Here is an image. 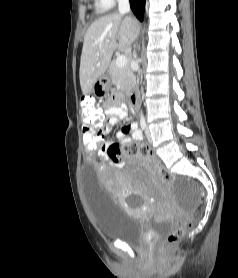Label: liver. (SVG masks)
I'll return each instance as SVG.
<instances>
[{
	"label": "liver",
	"mask_w": 238,
	"mask_h": 278,
	"mask_svg": "<svg viewBox=\"0 0 238 278\" xmlns=\"http://www.w3.org/2000/svg\"><path fill=\"white\" fill-rule=\"evenodd\" d=\"M140 33V26L132 17L109 14L94 21L83 42L80 61V85L84 95L91 92L96 81L107 71L116 49L129 51Z\"/></svg>",
	"instance_id": "6515ba94"
}]
</instances>
